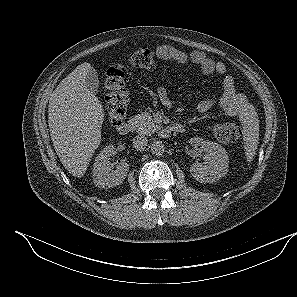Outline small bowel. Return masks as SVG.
<instances>
[{
  "mask_svg": "<svg viewBox=\"0 0 297 297\" xmlns=\"http://www.w3.org/2000/svg\"><path fill=\"white\" fill-rule=\"evenodd\" d=\"M156 54L158 58L163 61L178 65L194 64L199 67L201 72L205 75L216 73L222 77V95L220 97H211L199 102L195 107L197 113H205L214 106H217L227 115L239 117L247 108L246 97L244 94L236 90L234 79L227 74V69L224 63L213 60L203 52L194 51L188 53L170 45L158 46L156 48ZM157 94L163 106L174 108L178 112L184 110L182 107L174 106L165 87H160Z\"/></svg>",
  "mask_w": 297,
  "mask_h": 297,
  "instance_id": "c3829d8e",
  "label": "small bowel"
}]
</instances>
